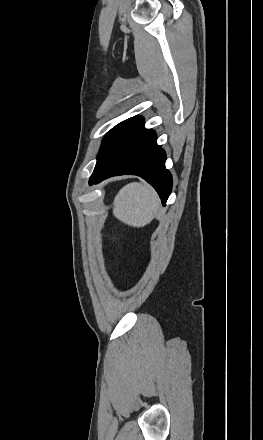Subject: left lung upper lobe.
<instances>
[{"label":"left lung upper lobe","mask_w":263,"mask_h":440,"mask_svg":"<svg viewBox=\"0 0 263 440\" xmlns=\"http://www.w3.org/2000/svg\"><path fill=\"white\" fill-rule=\"evenodd\" d=\"M133 118H129L117 124L103 138L101 148L97 157V163L93 172H99L107 164L120 139L122 138L126 128Z\"/></svg>","instance_id":"5c2ea615"}]
</instances>
